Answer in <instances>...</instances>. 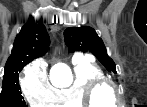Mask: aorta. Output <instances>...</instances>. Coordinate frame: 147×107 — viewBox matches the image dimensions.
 I'll return each instance as SVG.
<instances>
[{
    "mask_svg": "<svg viewBox=\"0 0 147 107\" xmlns=\"http://www.w3.org/2000/svg\"><path fill=\"white\" fill-rule=\"evenodd\" d=\"M58 70L62 73V84L66 85L71 82L70 71L67 65L65 64H57L52 68V71Z\"/></svg>",
    "mask_w": 147,
    "mask_h": 107,
    "instance_id": "762f6f07",
    "label": "aorta"
}]
</instances>
